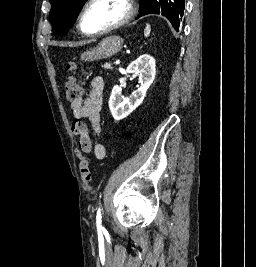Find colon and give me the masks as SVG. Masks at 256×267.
<instances>
[{
	"mask_svg": "<svg viewBox=\"0 0 256 267\" xmlns=\"http://www.w3.org/2000/svg\"><path fill=\"white\" fill-rule=\"evenodd\" d=\"M67 69L72 73L67 78V99L68 101H76L82 93L81 82L77 80L76 74L78 66L75 63L67 64ZM72 131L76 134L79 140V146L82 150H89L91 142L88 135L87 126L81 118H74L71 125ZM81 175L85 186L90 189L92 181L91 164L87 160L81 162Z\"/></svg>",
	"mask_w": 256,
	"mask_h": 267,
	"instance_id": "1",
	"label": "colon"
}]
</instances>
